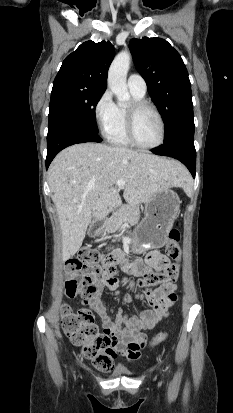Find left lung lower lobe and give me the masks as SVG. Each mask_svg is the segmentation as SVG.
Wrapping results in <instances>:
<instances>
[{"label": "left lung lower lobe", "instance_id": "left-lung-lower-lobe-1", "mask_svg": "<svg viewBox=\"0 0 233 413\" xmlns=\"http://www.w3.org/2000/svg\"><path fill=\"white\" fill-rule=\"evenodd\" d=\"M157 155L170 156L181 161L195 178L196 171V151L194 147V135H180L152 150Z\"/></svg>", "mask_w": 233, "mask_h": 413}]
</instances>
